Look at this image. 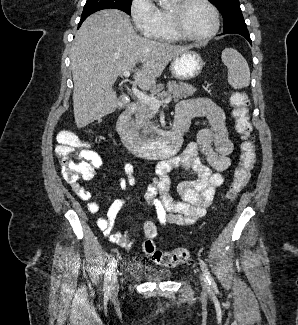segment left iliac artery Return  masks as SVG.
Here are the masks:
<instances>
[{
    "label": "left iliac artery",
    "mask_w": 298,
    "mask_h": 325,
    "mask_svg": "<svg viewBox=\"0 0 298 325\" xmlns=\"http://www.w3.org/2000/svg\"><path fill=\"white\" fill-rule=\"evenodd\" d=\"M199 264H200V267H201L206 279L208 280L209 285L212 288H214L216 286V284H215V281H214L213 277L211 276V274H210V272H209V270L207 268L206 263L202 259H200Z\"/></svg>",
    "instance_id": "1"
}]
</instances>
